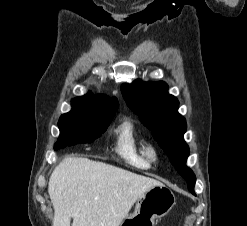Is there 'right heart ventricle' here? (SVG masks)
<instances>
[{"mask_svg":"<svg viewBox=\"0 0 247 226\" xmlns=\"http://www.w3.org/2000/svg\"><path fill=\"white\" fill-rule=\"evenodd\" d=\"M115 150L121 158L134 167L147 169L151 166L146 146L138 138L130 120L123 121L117 127Z\"/></svg>","mask_w":247,"mask_h":226,"instance_id":"1","label":"right heart ventricle"}]
</instances>
